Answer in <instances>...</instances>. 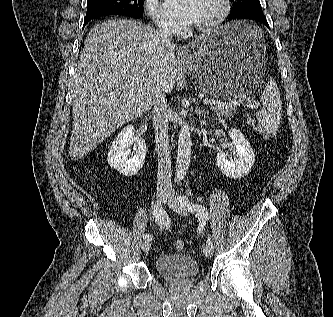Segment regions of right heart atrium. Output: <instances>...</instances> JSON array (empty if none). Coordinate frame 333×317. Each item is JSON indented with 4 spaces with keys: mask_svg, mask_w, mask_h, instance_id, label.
<instances>
[{
    "mask_svg": "<svg viewBox=\"0 0 333 317\" xmlns=\"http://www.w3.org/2000/svg\"><path fill=\"white\" fill-rule=\"evenodd\" d=\"M146 10L150 18L161 29L176 31L177 28L162 14L156 0H147Z\"/></svg>",
    "mask_w": 333,
    "mask_h": 317,
    "instance_id": "1",
    "label": "right heart atrium"
}]
</instances>
